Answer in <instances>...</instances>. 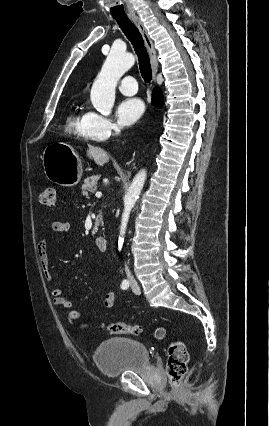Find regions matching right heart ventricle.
Listing matches in <instances>:
<instances>
[{
  "mask_svg": "<svg viewBox=\"0 0 269 426\" xmlns=\"http://www.w3.org/2000/svg\"><path fill=\"white\" fill-rule=\"evenodd\" d=\"M88 113L77 110L74 112L68 120V126L76 132L85 135L86 137V124H87ZM89 138V137H88Z\"/></svg>",
  "mask_w": 269,
  "mask_h": 426,
  "instance_id": "obj_1",
  "label": "right heart ventricle"
}]
</instances>
